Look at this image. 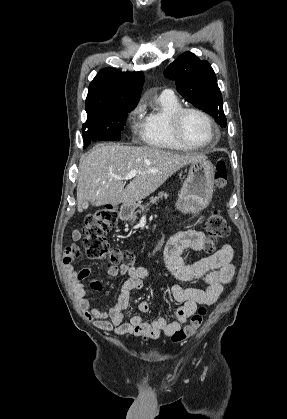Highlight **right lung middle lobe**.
Wrapping results in <instances>:
<instances>
[{"label": "right lung middle lobe", "instance_id": "1", "mask_svg": "<svg viewBox=\"0 0 287 419\" xmlns=\"http://www.w3.org/2000/svg\"><path fill=\"white\" fill-rule=\"evenodd\" d=\"M135 106L136 105H122L87 113V120L82 127L84 148H86L91 141L120 140L121 131L126 124L127 114L132 111Z\"/></svg>", "mask_w": 287, "mask_h": 419}]
</instances>
